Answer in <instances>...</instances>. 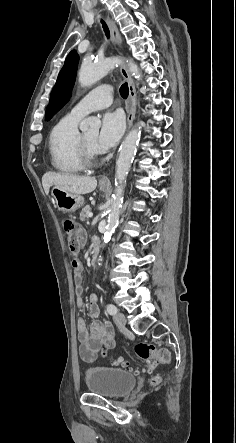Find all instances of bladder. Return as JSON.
<instances>
[{
    "instance_id": "bladder-1",
    "label": "bladder",
    "mask_w": 236,
    "mask_h": 443,
    "mask_svg": "<svg viewBox=\"0 0 236 443\" xmlns=\"http://www.w3.org/2000/svg\"><path fill=\"white\" fill-rule=\"evenodd\" d=\"M85 384L92 394L119 398L133 389L136 377L123 369L98 366L86 370Z\"/></svg>"
}]
</instances>
